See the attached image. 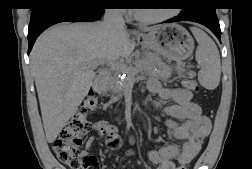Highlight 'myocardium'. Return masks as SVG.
Returning <instances> with one entry per match:
<instances>
[{"label": "myocardium", "mask_w": 252, "mask_h": 169, "mask_svg": "<svg viewBox=\"0 0 252 169\" xmlns=\"http://www.w3.org/2000/svg\"><path fill=\"white\" fill-rule=\"evenodd\" d=\"M133 14H134L135 19L142 23H156V22H161V21H164L173 17L176 14V11L173 10L168 13L152 16V17L141 16L137 13L136 10H134Z\"/></svg>", "instance_id": "obj_1"}]
</instances>
